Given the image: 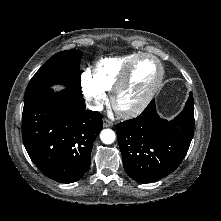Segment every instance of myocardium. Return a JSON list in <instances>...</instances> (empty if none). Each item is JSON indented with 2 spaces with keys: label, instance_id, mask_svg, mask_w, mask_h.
<instances>
[{
  "label": "myocardium",
  "instance_id": "myocardium-1",
  "mask_svg": "<svg viewBox=\"0 0 221 221\" xmlns=\"http://www.w3.org/2000/svg\"><path fill=\"white\" fill-rule=\"evenodd\" d=\"M143 58H151L153 59L158 67H159V75L152 86V88L147 92V94L134 106L132 107H122L119 102V96L120 94L125 90V88L128 86L133 70L137 63L143 59ZM164 78V67L162 62L158 57L151 53H141L137 57H135L124 69L121 76L119 77L118 81L114 85V87L111 90V104L114 108V110L124 117H134L140 114L144 109L149 105V103L152 101L156 93L161 87L162 81Z\"/></svg>",
  "mask_w": 221,
  "mask_h": 221
}]
</instances>
